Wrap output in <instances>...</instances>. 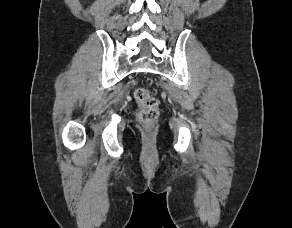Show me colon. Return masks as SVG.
<instances>
[{
  "label": "colon",
  "mask_w": 292,
  "mask_h": 228,
  "mask_svg": "<svg viewBox=\"0 0 292 228\" xmlns=\"http://www.w3.org/2000/svg\"><path fill=\"white\" fill-rule=\"evenodd\" d=\"M134 96L139 105L138 120L146 126L154 125L159 116L157 99L145 88L136 89Z\"/></svg>",
  "instance_id": "colon-1"
}]
</instances>
